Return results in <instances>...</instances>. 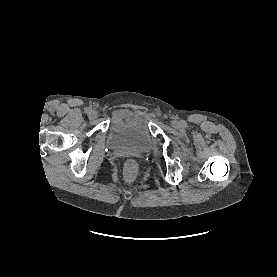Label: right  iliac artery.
Listing matches in <instances>:
<instances>
[{"label":"right iliac artery","instance_id":"82829eb1","mask_svg":"<svg viewBox=\"0 0 277 277\" xmlns=\"http://www.w3.org/2000/svg\"><path fill=\"white\" fill-rule=\"evenodd\" d=\"M91 112V109L90 108H85V113L86 114H89Z\"/></svg>","mask_w":277,"mask_h":277}]
</instances>
